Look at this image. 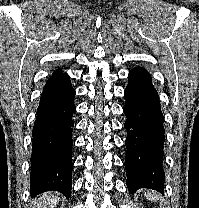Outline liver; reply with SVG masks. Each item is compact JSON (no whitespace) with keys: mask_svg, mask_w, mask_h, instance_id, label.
<instances>
[{"mask_svg":"<svg viewBox=\"0 0 199 208\" xmlns=\"http://www.w3.org/2000/svg\"><path fill=\"white\" fill-rule=\"evenodd\" d=\"M60 197L57 193H46L40 196L39 203H37V208H49L51 204L52 207L56 205Z\"/></svg>","mask_w":199,"mask_h":208,"instance_id":"liver-1","label":"liver"}]
</instances>
